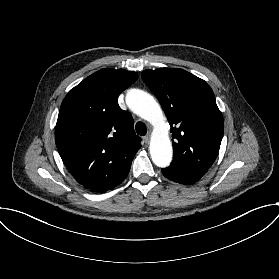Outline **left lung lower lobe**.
<instances>
[{"label":"left lung lower lobe","mask_w":279,"mask_h":279,"mask_svg":"<svg viewBox=\"0 0 279 279\" xmlns=\"http://www.w3.org/2000/svg\"><path fill=\"white\" fill-rule=\"evenodd\" d=\"M162 173L166 178L185 185L194 184L201 178L198 176L189 175L187 173L170 167L162 169Z\"/></svg>","instance_id":"obj_1"}]
</instances>
